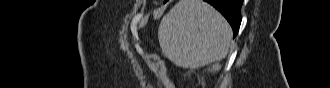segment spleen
I'll return each instance as SVG.
<instances>
[{
	"mask_svg": "<svg viewBox=\"0 0 330 88\" xmlns=\"http://www.w3.org/2000/svg\"><path fill=\"white\" fill-rule=\"evenodd\" d=\"M160 47L175 65L197 68L225 58L232 30L225 18L202 0H180L162 19Z\"/></svg>",
	"mask_w": 330,
	"mask_h": 88,
	"instance_id": "1",
	"label": "spleen"
}]
</instances>
